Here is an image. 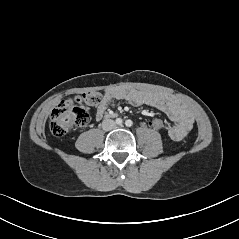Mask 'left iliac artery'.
<instances>
[{
	"instance_id": "44dca946",
	"label": "left iliac artery",
	"mask_w": 239,
	"mask_h": 239,
	"mask_svg": "<svg viewBox=\"0 0 239 239\" xmlns=\"http://www.w3.org/2000/svg\"><path fill=\"white\" fill-rule=\"evenodd\" d=\"M125 125L127 126V127H131L132 125H133V122H132V120H126V122H125Z\"/></svg>"
}]
</instances>
